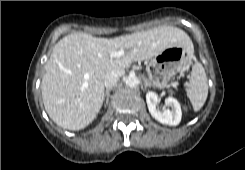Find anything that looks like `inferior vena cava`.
I'll return each instance as SVG.
<instances>
[{
    "label": "inferior vena cava",
    "mask_w": 245,
    "mask_h": 170,
    "mask_svg": "<svg viewBox=\"0 0 245 170\" xmlns=\"http://www.w3.org/2000/svg\"><path fill=\"white\" fill-rule=\"evenodd\" d=\"M123 74L124 71H111L106 73V75L104 76L105 87L108 89L114 86Z\"/></svg>",
    "instance_id": "inferior-vena-cava-1"
}]
</instances>
